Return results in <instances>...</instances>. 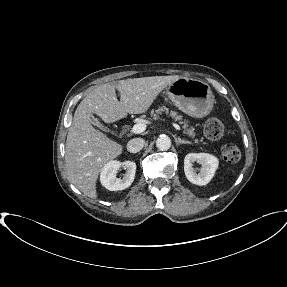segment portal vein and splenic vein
I'll list each match as a JSON object with an SVG mask.
<instances>
[{"label": "portal vein and splenic vein", "mask_w": 287, "mask_h": 287, "mask_svg": "<svg viewBox=\"0 0 287 287\" xmlns=\"http://www.w3.org/2000/svg\"><path fill=\"white\" fill-rule=\"evenodd\" d=\"M172 125L174 126V128H175L176 130H181V128H180V126H179L178 124L172 123ZM146 127H147V124L144 123V122H142V123H137V124H135V125L132 127V130H131V131H132L134 134H140V133H142V132H144V131L146 130Z\"/></svg>", "instance_id": "18ae733b"}]
</instances>
